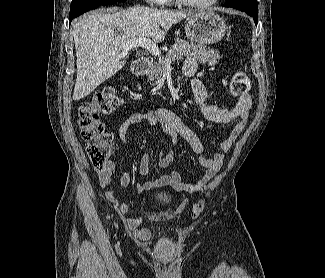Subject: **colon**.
I'll list each match as a JSON object with an SVG mask.
<instances>
[{
    "label": "colon",
    "mask_w": 325,
    "mask_h": 278,
    "mask_svg": "<svg viewBox=\"0 0 325 278\" xmlns=\"http://www.w3.org/2000/svg\"><path fill=\"white\" fill-rule=\"evenodd\" d=\"M230 87L232 93L238 96L249 90L250 80L244 72L237 71L232 76ZM121 105V97L116 95L112 88H107L94 93L78 107V126L83 140L87 142L86 151L89 160L96 170L101 171L105 168L114 149L99 116L112 113Z\"/></svg>",
    "instance_id": "5ec220e1"
}]
</instances>
